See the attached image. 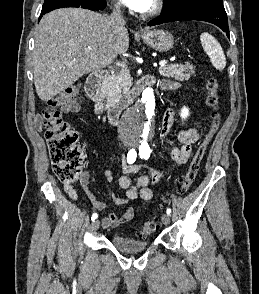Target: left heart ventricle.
I'll return each instance as SVG.
<instances>
[{
  "label": "left heart ventricle",
  "mask_w": 259,
  "mask_h": 294,
  "mask_svg": "<svg viewBox=\"0 0 259 294\" xmlns=\"http://www.w3.org/2000/svg\"><path fill=\"white\" fill-rule=\"evenodd\" d=\"M153 5V0L150 2L149 6L145 9V11H148Z\"/></svg>",
  "instance_id": "1"
}]
</instances>
